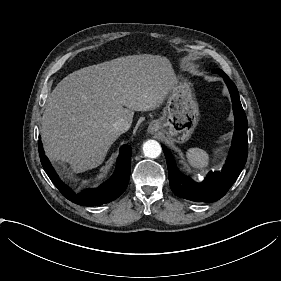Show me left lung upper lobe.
<instances>
[{
	"instance_id": "5c2ea615",
	"label": "left lung upper lobe",
	"mask_w": 281,
	"mask_h": 281,
	"mask_svg": "<svg viewBox=\"0 0 281 281\" xmlns=\"http://www.w3.org/2000/svg\"><path fill=\"white\" fill-rule=\"evenodd\" d=\"M215 71H222L221 69H216Z\"/></svg>"
}]
</instances>
